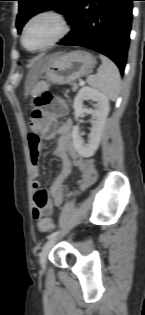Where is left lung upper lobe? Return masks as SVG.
<instances>
[{
    "instance_id": "obj_1",
    "label": "left lung upper lobe",
    "mask_w": 145,
    "mask_h": 315,
    "mask_svg": "<svg viewBox=\"0 0 145 315\" xmlns=\"http://www.w3.org/2000/svg\"><path fill=\"white\" fill-rule=\"evenodd\" d=\"M19 1V13L17 15L16 27L21 32L25 23L36 13L43 10H55L69 18L77 0H17ZM68 21V19H67Z\"/></svg>"
}]
</instances>
